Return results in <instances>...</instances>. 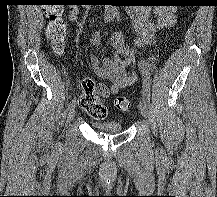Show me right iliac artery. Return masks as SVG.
<instances>
[{"instance_id": "82829eb1", "label": "right iliac artery", "mask_w": 217, "mask_h": 197, "mask_svg": "<svg viewBox=\"0 0 217 197\" xmlns=\"http://www.w3.org/2000/svg\"><path fill=\"white\" fill-rule=\"evenodd\" d=\"M76 100L72 99L69 104H68V108H72L73 106H75Z\"/></svg>"}]
</instances>
